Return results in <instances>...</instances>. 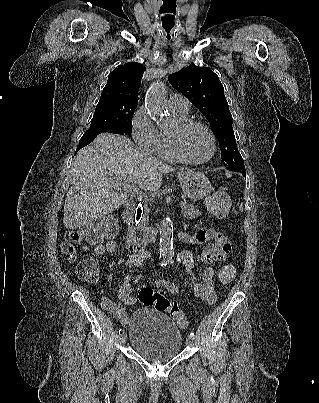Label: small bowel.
Instances as JSON below:
<instances>
[{"label":"small bowel","instance_id":"1","mask_svg":"<svg viewBox=\"0 0 319 403\" xmlns=\"http://www.w3.org/2000/svg\"><path fill=\"white\" fill-rule=\"evenodd\" d=\"M181 239L188 244L207 243L201 256V261L205 266L201 281L195 274L194 260L189 251H182L179 253L177 260L184 264L191 278L194 295L210 305L216 303L217 294L214 288V270L211 267V264L221 262L227 258L231 251L229 240L224 235L213 229H199L195 234H182ZM103 253H105V251ZM148 256L149 255L146 252L130 256L126 262L128 272L124 276L121 284L119 300L117 302L107 299L102 300V307L114 315L122 325H126L129 319L126 306L133 305L136 301L135 297L132 295L131 287L134 269L140 267ZM154 285L158 288H163L172 294L178 293L177 285L172 282L156 280Z\"/></svg>","mask_w":319,"mask_h":403}]
</instances>
